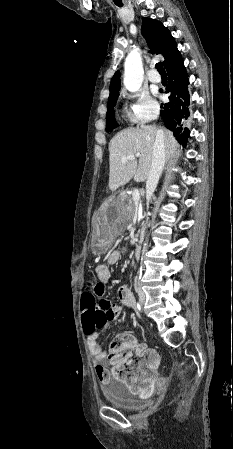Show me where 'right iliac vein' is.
Masks as SVG:
<instances>
[{"mask_svg": "<svg viewBox=\"0 0 233 449\" xmlns=\"http://www.w3.org/2000/svg\"><path fill=\"white\" fill-rule=\"evenodd\" d=\"M141 304L144 305L145 304V298L141 297Z\"/></svg>", "mask_w": 233, "mask_h": 449, "instance_id": "63e3f726", "label": "right iliac vein"}]
</instances>
